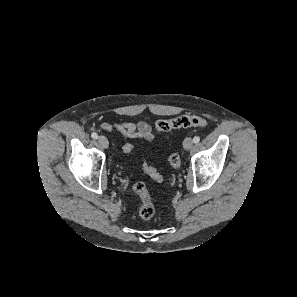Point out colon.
<instances>
[{
  "instance_id": "obj_1",
  "label": "colon",
  "mask_w": 297,
  "mask_h": 297,
  "mask_svg": "<svg viewBox=\"0 0 297 297\" xmlns=\"http://www.w3.org/2000/svg\"><path fill=\"white\" fill-rule=\"evenodd\" d=\"M206 124H207L206 121L199 116L181 115V116H177L169 119L158 120L156 123V130L162 133V132L170 131L172 129H179V128H188V127L203 128L206 126ZM133 148H134L133 145L125 144L123 146L122 152L129 153L133 150ZM168 161L173 168H177L180 166V157L176 153H172L169 156ZM143 169L155 181L157 182L163 181L162 175L145 162H143ZM133 189L140 196L142 201L138 210L139 217L143 220H149L150 218L153 217L155 213V208L152 203V200L146 185L143 182H136L133 184Z\"/></svg>"
}]
</instances>
